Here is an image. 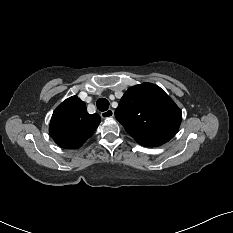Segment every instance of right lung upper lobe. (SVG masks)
Returning <instances> with one entry per match:
<instances>
[{
    "instance_id": "obj_1",
    "label": "right lung upper lobe",
    "mask_w": 233,
    "mask_h": 233,
    "mask_svg": "<svg viewBox=\"0 0 233 233\" xmlns=\"http://www.w3.org/2000/svg\"><path fill=\"white\" fill-rule=\"evenodd\" d=\"M100 123L98 114H89L77 96L63 101L53 112L49 132L55 143L67 149L81 147Z\"/></svg>"
}]
</instances>
